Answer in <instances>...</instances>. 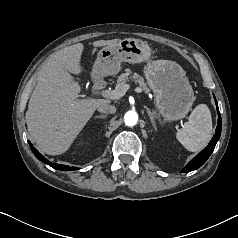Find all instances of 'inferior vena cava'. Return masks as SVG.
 Listing matches in <instances>:
<instances>
[{"instance_id": "inferior-vena-cava-1", "label": "inferior vena cava", "mask_w": 238, "mask_h": 238, "mask_svg": "<svg viewBox=\"0 0 238 238\" xmlns=\"http://www.w3.org/2000/svg\"><path fill=\"white\" fill-rule=\"evenodd\" d=\"M97 110L105 114H114L116 112V107L110 104H102L97 107Z\"/></svg>"}]
</instances>
